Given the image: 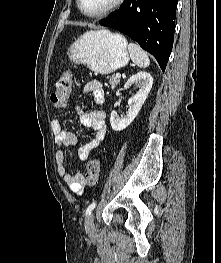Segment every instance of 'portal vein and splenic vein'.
Instances as JSON below:
<instances>
[{"instance_id":"portal-vein-and-splenic-vein-1","label":"portal vein and splenic vein","mask_w":221,"mask_h":263,"mask_svg":"<svg viewBox=\"0 0 221 263\" xmlns=\"http://www.w3.org/2000/svg\"><path fill=\"white\" fill-rule=\"evenodd\" d=\"M115 76H116V78H121V74L120 73H117Z\"/></svg>"}]
</instances>
